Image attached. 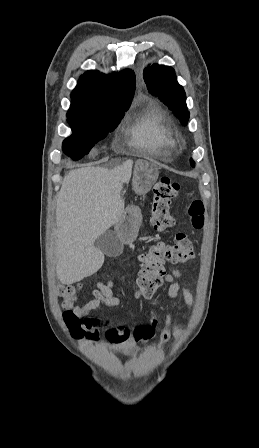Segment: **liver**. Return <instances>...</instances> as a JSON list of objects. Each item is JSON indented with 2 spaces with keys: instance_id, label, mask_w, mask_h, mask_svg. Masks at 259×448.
<instances>
[{
  "instance_id": "1",
  "label": "liver",
  "mask_w": 259,
  "mask_h": 448,
  "mask_svg": "<svg viewBox=\"0 0 259 448\" xmlns=\"http://www.w3.org/2000/svg\"><path fill=\"white\" fill-rule=\"evenodd\" d=\"M133 160L113 170L78 168L65 176L56 200V274L61 284L93 276L104 262L95 248L101 234L120 222L123 182L131 178Z\"/></svg>"
}]
</instances>
